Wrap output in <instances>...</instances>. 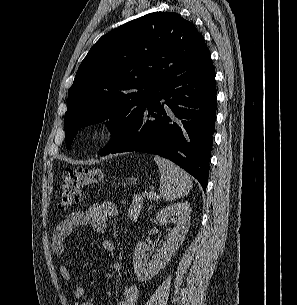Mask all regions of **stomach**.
<instances>
[{
    "mask_svg": "<svg viewBox=\"0 0 297 305\" xmlns=\"http://www.w3.org/2000/svg\"><path fill=\"white\" fill-rule=\"evenodd\" d=\"M136 181H137V178L132 176V177L128 178L127 184H130V185L136 184Z\"/></svg>",
    "mask_w": 297,
    "mask_h": 305,
    "instance_id": "0dacf381",
    "label": "stomach"
}]
</instances>
